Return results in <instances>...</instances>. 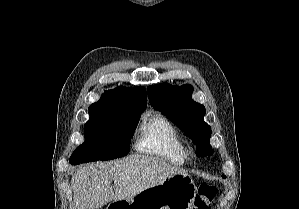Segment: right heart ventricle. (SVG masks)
I'll use <instances>...</instances> for the list:
<instances>
[{
    "label": "right heart ventricle",
    "instance_id": "1",
    "mask_svg": "<svg viewBox=\"0 0 299 209\" xmlns=\"http://www.w3.org/2000/svg\"><path fill=\"white\" fill-rule=\"evenodd\" d=\"M136 149L173 165H184L189 159L186 141L176 127L161 114H154L143 120Z\"/></svg>",
    "mask_w": 299,
    "mask_h": 209
}]
</instances>
